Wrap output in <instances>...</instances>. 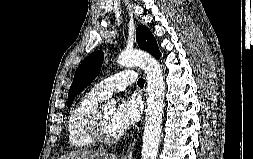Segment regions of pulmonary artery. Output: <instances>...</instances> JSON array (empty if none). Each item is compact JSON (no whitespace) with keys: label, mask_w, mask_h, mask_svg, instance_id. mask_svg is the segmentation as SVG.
<instances>
[{"label":"pulmonary artery","mask_w":253,"mask_h":159,"mask_svg":"<svg viewBox=\"0 0 253 159\" xmlns=\"http://www.w3.org/2000/svg\"><path fill=\"white\" fill-rule=\"evenodd\" d=\"M137 81V74L132 69H126L96 83L91 91L102 98H107L115 92L124 90Z\"/></svg>","instance_id":"1"}]
</instances>
